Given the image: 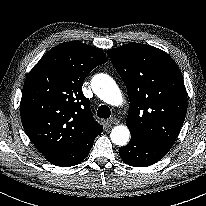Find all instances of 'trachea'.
<instances>
[{
    "mask_svg": "<svg viewBox=\"0 0 206 206\" xmlns=\"http://www.w3.org/2000/svg\"><path fill=\"white\" fill-rule=\"evenodd\" d=\"M111 115L110 108L105 105H101L97 110V116L103 119L109 118Z\"/></svg>",
    "mask_w": 206,
    "mask_h": 206,
    "instance_id": "trachea-1",
    "label": "trachea"
}]
</instances>
